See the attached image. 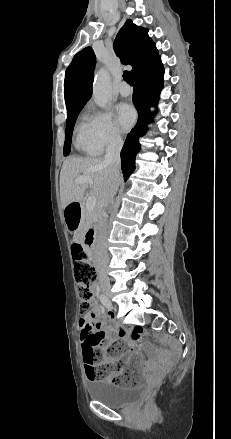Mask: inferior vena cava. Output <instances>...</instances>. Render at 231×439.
<instances>
[{
	"label": "inferior vena cava",
	"instance_id": "1",
	"mask_svg": "<svg viewBox=\"0 0 231 439\" xmlns=\"http://www.w3.org/2000/svg\"><path fill=\"white\" fill-rule=\"evenodd\" d=\"M123 146V141L119 135H115L110 140L106 148L104 161L109 166L111 171V185L106 195L105 206L110 204L117 192L119 186L120 173V152ZM108 261L107 249L103 242H100L96 248L95 264L102 278L107 279V275L102 271L104 265Z\"/></svg>",
	"mask_w": 231,
	"mask_h": 439
}]
</instances>
